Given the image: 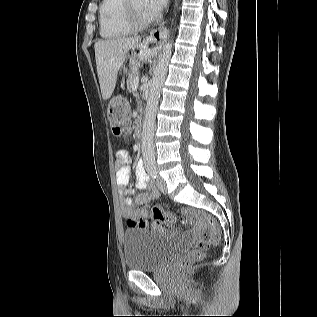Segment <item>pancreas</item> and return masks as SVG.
<instances>
[{
	"label": "pancreas",
	"mask_w": 317,
	"mask_h": 317,
	"mask_svg": "<svg viewBox=\"0 0 317 317\" xmlns=\"http://www.w3.org/2000/svg\"><path fill=\"white\" fill-rule=\"evenodd\" d=\"M136 66V65H135ZM136 70L135 72L132 73V75H128V78H127V92L128 93H133L134 92V81L136 79Z\"/></svg>",
	"instance_id": "1"
}]
</instances>
